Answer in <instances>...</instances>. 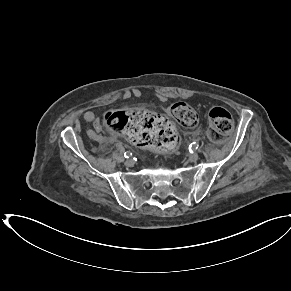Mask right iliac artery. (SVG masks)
I'll list each match as a JSON object with an SVG mask.
<instances>
[{"label": "right iliac artery", "mask_w": 291, "mask_h": 291, "mask_svg": "<svg viewBox=\"0 0 291 291\" xmlns=\"http://www.w3.org/2000/svg\"><path fill=\"white\" fill-rule=\"evenodd\" d=\"M130 156H132L131 152L127 151V152L124 153V157L125 158H129Z\"/></svg>", "instance_id": "right-iliac-artery-1"}]
</instances>
